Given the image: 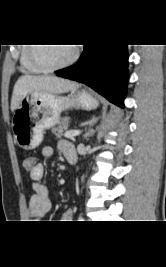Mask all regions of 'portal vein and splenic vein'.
Wrapping results in <instances>:
<instances>
[{
    "mask_svg": "<svg viewBox=\"0 0 166 267\" xmlns=\"http://www.w3.org/2000/svg\"><path fill=\"white\" fill-rule=\"evenodd\" d=\"M80 133H81V132L78 131V130H72V131H67V132H65L64 136H65L66 138L71 139V138H73V137H75V136H78Z\"/></svg>",
    "mask_w": 166,
    "mask_h": 267,
    "instance_id": "portal-vein-and-splenic-vein-1",
    "label": "portal vein and splenic vein"
}]
</instances>
